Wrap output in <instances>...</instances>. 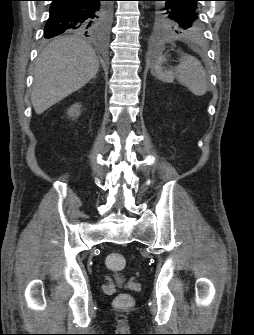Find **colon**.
<instances>
[{"label":"colon","instance_id":"obj_1","mask_svg":"<svg viewBox=\"0 0 254 335\" xmlns=\"http://www.w3.org/2000/svg\"><path fill=\"white\" fill-rule=\"evenodd\" d=\"M105 264L113 273L120 274L126 267V258L121 253L112 252L106 256ZM133 303V297L128 293H120L114 299L117 308H129Z\"/></svg>","mask_w":254,"mask_h":335}]
</instances>
